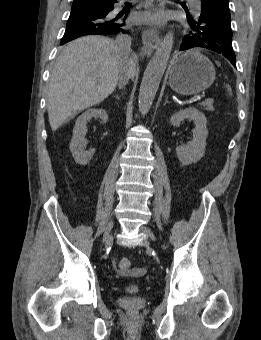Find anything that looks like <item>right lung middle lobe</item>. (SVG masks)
<instances>
[{"label":"right lung middle lobe","mask_w":261,"mask_h":340,"mask_svg":"<svg viewBox=\"0 0 261 340\" xmlns=\"http://www.w3.org/2000/svg\"><path fill=\"white\" fill-rule=\"evenodd\" d=\"M64 43H66V41H62V40H61V45H63Z\"/></svg>","instance_id":"right-lung-middle-lobe-1"}]
</instances>
